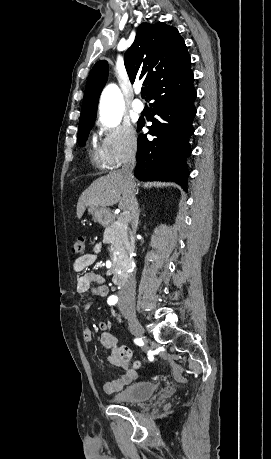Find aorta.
Masks as SVG:
<instances>
[{
  "mask_svg": "<svg viewBox=\"0 0 271 459\" xmlns=\"http://www.w3.org/2000/svg\"><path fill=\"white\" fill-rule=\"evenodd\" d=\"M123 96L115 84L108 85L100 99V117L107 127L117 126L123 115Z\"/></svg>",
  "mask_w": 271,
  "mask_h": 459,
  "instance_id": "762f6f07",
  "label": "aorta"
}]
</instances>
